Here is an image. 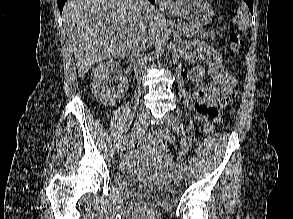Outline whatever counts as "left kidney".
I'll list each match as a JSON object with an SVG mask.
<instances>
[{"instance_id":"5707ae66","label":"left kidney","mask_w":293,"mask_h":219,"mask_svg":"<svg viewBox=\"0 0 293 219\" xmlns=\"http://www.w3.org/2000/svg\"><path fill=\"white\" fill-rule=\"evenodd\" d=\"M205 76V69L203 67H196L192 71L191 81L201 83L203 80V77Z\"/></svg>"}]
</instances>
